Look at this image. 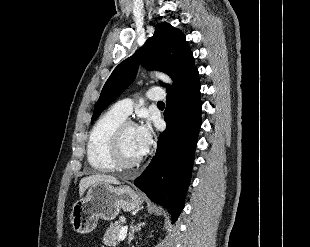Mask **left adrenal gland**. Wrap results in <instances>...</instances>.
Segmentation results:
<instances>
[{
  "instance_id": "1",
  "label": "left adrenal gland",
  "mask_w": 310,
  "mask_h": 247,
  "mask_svg": "<svg viewBox=\"0 0 310 247\" xmlns=\"http://www.w3.org/2000/svg\"><path fill=\"white\" fill-rule=\"evenodd\" d=\"M134 220H132L131 225H130V232H129V236H128V244L131 243V241L134 238V234L136 231L140 230L141 226H143L145 223H139L136 226L133 225Z\"/></svg>"
}]
</instances>
